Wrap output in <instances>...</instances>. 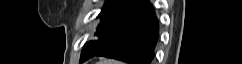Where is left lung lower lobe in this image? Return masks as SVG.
<instances>
[{
	"label": "left lung lower lobe",
	"mask_w": 242,
	"mask_h": 64,
	"mask_svg": "<svg viewBox=\"0 0 242 64\" xmlns=\"http://www.w3.org/2000/svg\"><path fill=\"white\" fill-rule=\"evenodd\" d=\"M97 41L84 45L80 61L104 56L128 64H151L159 25L148 0H119L100 18Z\"/></svg>",
	"instance_id": "left-lung-lower-lobe-1"
}]
</instances>
